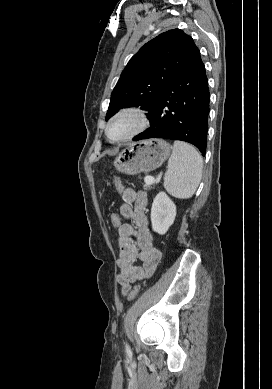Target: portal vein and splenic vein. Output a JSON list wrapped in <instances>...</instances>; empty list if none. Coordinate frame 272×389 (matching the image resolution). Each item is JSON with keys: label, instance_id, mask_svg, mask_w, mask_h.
Instances as JSON below:
<instances>
[{"label": "portal vein and splenic vein", "instance_id": "obj_1", "mask_svg": "<svg viewBox=\"0 0 272 389\" xmlns=\"http://www.w3.org/2000/svg\"><path fill=\"white\" fill-rule=\"evenodd\" d=\"M148 183H155L156 180L153 177H148L145 179Z\"/></svg>", "mask_w": 272, "mask_h": 389}]
</instances>
